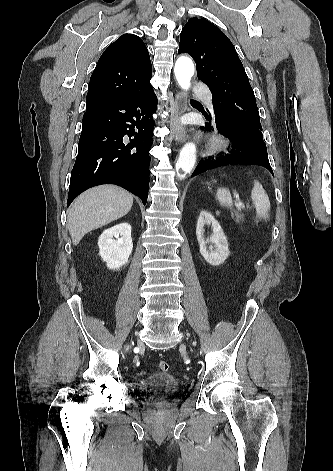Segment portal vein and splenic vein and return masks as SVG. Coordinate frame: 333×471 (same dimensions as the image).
Returning <instances> with one entry per match:
<instances>
[{
	"mask_svg": "<svg viewBox=\"0 0 333 471\" xmlns=\"http://www.w3.org/2000/svg\"><path fill=\"white\" fill-rule=\"evenodd\" d=\"M236 206L240 209L245 208V205L239 200V196L236 194Z\"/></svg>",
	"mask_w": 333,
	"mask_h": 471,
	"instance_id": "18ae733b",
	"label": "portal vein and splenic vein"
}]
</instances>
